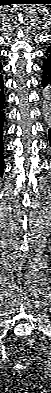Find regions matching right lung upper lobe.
<instances>
[{
    "label": "right lung upper lobe",
    "instance_id": "cb5924a9",
    "mask_svg": "<svg viewBox=\"0 0 51 393\" xmlns=\"http://www.w3.org/2000/svg\"><path fill=\"white\" fill-rule=\"evenodd\" d=\"M1 69H2V65H1V62H0V71H1Z\"/></svg>",
    "mask_w": 51,
    "mask_h": 393
}]
</instances>
